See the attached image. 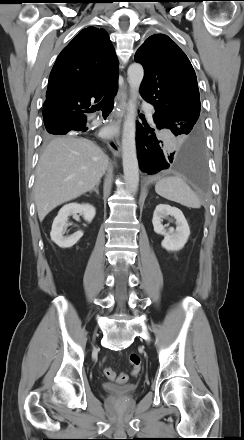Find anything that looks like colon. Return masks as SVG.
Here are the masks:
<instances>
[{
  "mask_svg": "<svg viewBox=\"0 0 244 440\" xmlns=\"http://www.w3.org/2000/svg\"><path fill=\"white\" fill-rule=\"evenodd\" d=\"M129 361H130V363H131V365L133 367V373L137 374L140 371V369H141V359H140V356L138 354H136V353H132L130 355V357H129ZM104 375L110 381H113V380L116 379V382L118 384H121V385L125 384L128 381V375L127 374L121 373V374H119L116 377L115 371L112 368H109V367L104 370Z\"/></svg>",
  "mask_w": 244,
  "mask_h": 440,
  "instance_id": "colon-1",
  "label": "colon"
}]
</instances>
